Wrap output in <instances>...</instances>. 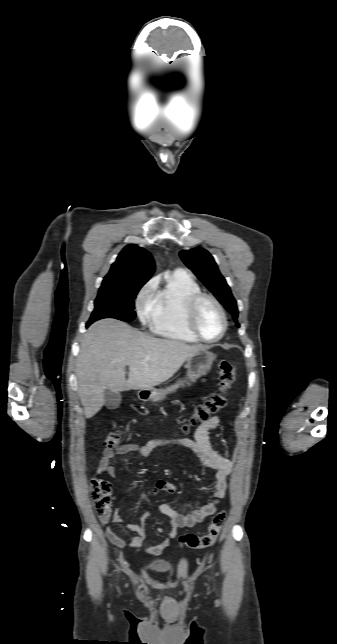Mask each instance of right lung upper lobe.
Here are the masks:
<instances>
[{
  "label": "right lung upper lobe",
  "instance_id": "cb5924a9",
  "mask_svg": "<svg viewBox=\"0 0 337 644\" xmlns=\"http://www.w3.org/2000/svg\"><path fill=\"white\" fill-rule=\"evenodd\" d=\"M155 270V263L148 251L137 245H127L112 264L101 287L145 284Z\"/></svg>",
  "mask_w": 337,
  "mask_h": 644
}]
</instances>
